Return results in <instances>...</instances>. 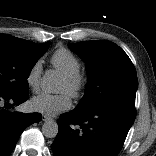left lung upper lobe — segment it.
<instances>
[{
  "mask_svg": "<svg viewBox=\"0 0 156 156\" xmlns=\"http://www.w3.org/2000/svg\"><path fill=\"white\" fill-rule=\"evenodd\" d=\"M69 47L86 61L88 77L85 94L75 111L111 104L135 109L138 87L136 70L118 45L95 40L70 44Z\"/></svg>",
  "mask_w": 156,
  "mask_h": 156,
  "instance_id": "1",
  "label": "left lung upper lobe"
}]
</instances>
